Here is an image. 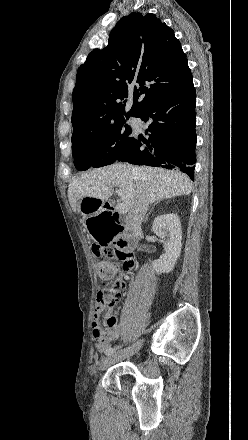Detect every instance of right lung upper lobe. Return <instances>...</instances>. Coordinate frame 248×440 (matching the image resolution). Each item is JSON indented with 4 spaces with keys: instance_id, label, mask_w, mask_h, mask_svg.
Returning a JSON list of instances; mask_svg holds the SVG:
<instances>
[{
    "instance_id": "right-lung-upper-lobe-1",
    "label": "right lung upper lobe",
    "mask_w": 248,
    "mask_h": 440,
    "mask_svg": "<svg viewBox=\"0 0 248 440\" xmlns=\"http://www.w3.org/2000/svg\"><path fill=\"white\" fill-rule=\"evenodd\" d=\"M191 80L186 55L171 28L155 14L124 16L112 29L108 45L93 50L78 69L73 90V135L120 123L124 115L133 116L147 101ZM131 95L133 105L126 114L125 103Z\"/></svg>"
}]
</instances>
